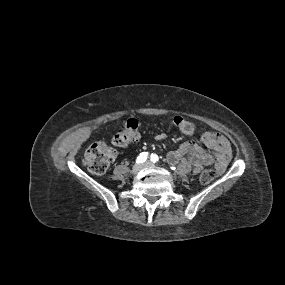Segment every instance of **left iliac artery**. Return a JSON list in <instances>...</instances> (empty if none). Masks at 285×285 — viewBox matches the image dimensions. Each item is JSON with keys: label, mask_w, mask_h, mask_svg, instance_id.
Here are the masks:
<instances>
[{"label": "left iliac artery", "mask_w": 285, "mask_h": 285, "mask_svg": "<svg viewBox=\"0 0 285 285\" xmlns=\"http://www.w3.org/2000/svg\"><path fill=\"white\" fill-rule=\"evenodd\" d=\"M150 160H151L153 163H158L159 157H158L156 154L152 153L151 156H150Z\"/></svg>", "instance_id": "obj_1"}]
</instances>
